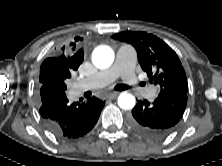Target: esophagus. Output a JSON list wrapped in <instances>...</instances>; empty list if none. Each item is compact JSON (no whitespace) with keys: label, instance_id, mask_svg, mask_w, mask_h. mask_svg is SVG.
<instances>
[{"label":"esophagus","instance_id":"obj_1","mask_svg":"<svg viewBox=\"0 0 222 166\" xmlns=\"http://www.w3.org/2000/svg\"><path fill=\"white\" fill-rule=\"evenodd\" d=\"M119 92H111L106 95L108 99H114L118 96Z\"/></svg>","mask_w":222,"mask_h":166}]
</instances>
